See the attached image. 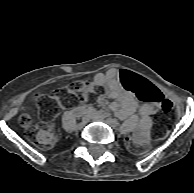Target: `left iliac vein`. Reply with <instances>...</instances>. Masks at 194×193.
I'll use <instances>...</instances> for the list:
<instances>
[{
    "mask_svg": "<svg viewBox=\"0 0 194 193\" xmlns=\"http://www.w3.org/2000/svg\"><path fill=\"white\" fill-rule=\"evenodd\" d=\"M94 120H99V118H93ZM104 122L107 124V125H109V126H111L112 128H116L117 126H118V122H117V120H115V119H112V118H107V119H105L104 120Z\"/></svg>",
    "mask_w": 194,
    "mask_h": 193,
    "instance_id": "obj_1",
    "label": "left iliac vein"
}]
</instances>
